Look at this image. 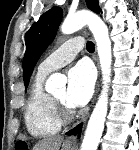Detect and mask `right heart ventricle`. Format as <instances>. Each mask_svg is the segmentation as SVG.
<instances>
[{
	"instance_id": "e07e8e85",
	"label": "right heart ventricle",
	"mask_w": 139,
	"mask_h": 150,
	"mask_svg": "<svg viewBox=\"0 0 139 150\" xmlns=\"http://www.w3.org/2000/svg\"><path fill=\"white\" fill-rule=\"evenodd\" d=\"M45 77L36 75L25 106V125L35 137L53 135L62 125L55 117L50 95L43 88Z\"/></svg>"
}]
</instances>
